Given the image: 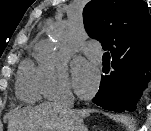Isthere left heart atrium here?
I'll return each mask as SVG.
<instances>
[{
	"mask_svg": "<svg viewBox=\"0 0 151 131\" xmlns=\"http://www.w3.org/2000/svg\"><path fill=\"white\" fill-rule=\"evenodd\" d=\"M73 80L76 92L87 97L96 90L99 76L91 64L85 60H78L74 66Z\"/></svg>",
	"mask_w": 151,
	"mask_h": 131,
	"instance_id": "39dd6f15",
	"label": "left heart atrium"
}]
</instances>
